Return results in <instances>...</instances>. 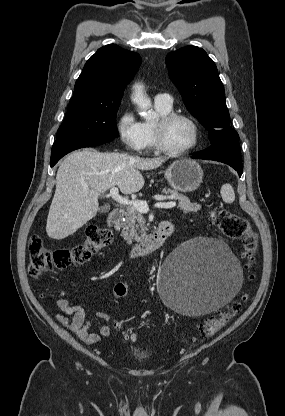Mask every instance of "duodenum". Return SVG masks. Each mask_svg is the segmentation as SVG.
Segmentation results:
<instances>
[{
	"instance_id": "410a0bca",
	"label": "duodenum",
	"mask_w": 285,
	"mask_h": 416,
	"mask_svg": "<svg viewBox=\"0 0 285 416\" xmlns=\"http://www.w3.org/2000/svg\"><path fill=\"white\" fill-rule=\"evenodd\" d=\"M124 217V210L122 208L114 209L109 217L108 225L112 231L118 229L119 223ZM173 224L165 219L161 220L154 231L144 237L140 242L136 243L130 249V257L132 259H139L148 253L160 249L164 243L173 235Z\"/></svg>"
}]
</instances>
